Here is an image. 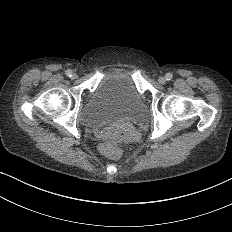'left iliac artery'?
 <instances>
[{"instance_id": "1", "label": "left iliac artery", "mask_w": 232, "mask_h": 232, "mask_svg": "<svg viewBox=\"0 0 232 232\" xmlns=\"http://www.w3.org/2000/svg\"><path fill=\"white\" fill-rule=\"evenodd\" d=\"M165 78L167 81H170L173 78V74L171 72L166 73Z\"/></svg>"}]
</instances>
